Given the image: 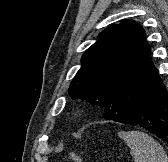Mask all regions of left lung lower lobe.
Returning a JSON list of instances; mask_svg holds the SVG:
<instances>
[{
	"label": "left lung lower lobe",
	"mask_w": 168,
	"mask_h": 162,
	"mask_svg": "<svg viewBox=\"0 0 168 162\" xmlns=\"http://www.w3.org/2000/svg\"><path fill=\"white\" fill-rule=\"evenodd\" d=\"M103 118L137 125L168 142V94L149 58L107 99Z\"/></svg>",
	"instance_id": "1"
}]
</instances>
